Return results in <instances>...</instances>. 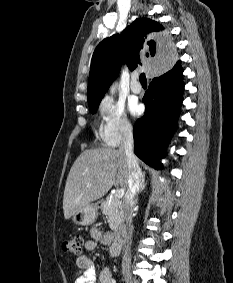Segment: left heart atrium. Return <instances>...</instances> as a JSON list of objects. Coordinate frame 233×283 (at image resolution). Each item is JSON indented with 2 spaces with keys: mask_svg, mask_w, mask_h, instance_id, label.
I'll list each match as a JSON object with an SVG mask.
<instances>
[{
  "mask_svg": "<svg viewBox=\"0 0 233 283\" xmlns=\"http://www.w3.org/2000/svg\"><path fill=\"white\" fill-rule=\"evenodd\" d=\"M129 110L132 115H139L141 113V106L135 102L130 103Z\"/></svg>",
  "mask_w": 233,
  "mask_h": 283,
  "instance_id": "obj_1",
  "label": "left heart atrium"
}]
</instances>
